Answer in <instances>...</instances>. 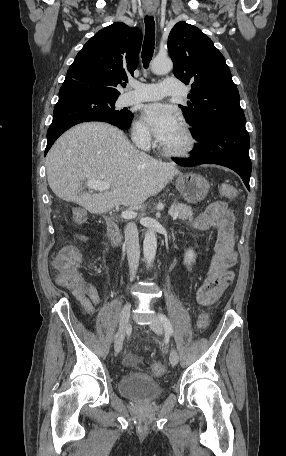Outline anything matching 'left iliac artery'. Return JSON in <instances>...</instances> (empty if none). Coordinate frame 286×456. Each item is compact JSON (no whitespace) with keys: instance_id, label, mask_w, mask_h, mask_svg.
Returning a JSON list of instances; mask_svg holds the SVG:
<instances>
[{"instance_id":"44dca946","label":"left iliac artery","mask_w":286,"mask_h":456,"mask_svg":"<svg viewBox=\"0 0 286 456\" xmlns=\"http://www.w3.org/2000/svg\"><path fill=\"white\" fill-rule=\"evenodd\" d=\"M159 320L161 321V323L165 329V332L167 334L173 335L174 331H173V327H172L170 320L164 314H159Z\"/></svg>"}]
</instances>
